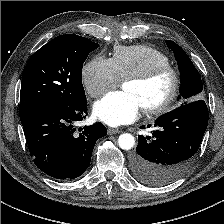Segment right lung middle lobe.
Returning a JSON list of instances; mask_svg holds the SVG:
<instances>
[{
  "label": "right lung middle lobe",
  "instance_id": "obj_1",
  "mask_svg": "<svg viewBox=\"0 0 224 224\" xmlns=\"http://www.w3.org/2000/svg\"><path fill=\"white\" fill-rule=\"evenodd\" d=\"M98 44L74 35H60L36 51L22 76L19 115L46 105L76 106L86 101L82 68Z\"/></svg>",
  "mask_w": 224,
  "mask_h": 224
}]
</instances>
